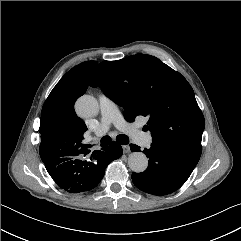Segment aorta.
Listing matches in <instances>:
<instances>
[{"label": "aorta", "mask_w": 241, "mask_h": 241, "mask_svg": "<svg viewBox=\"0 0 241 241\" xmlns=\"http://www.w3.org/2000/svg\"><path fill=\"white\" fill-rule=\"evenodd\" d=\"M75 109L80 117H94L99 112V104L91 95H83L78 98ZM128 165L133 172L142 173L147 169L148 159L141 152H133L128 158Z\"/></svg>", "instance_id": "aorta-1"}]
</instances>
